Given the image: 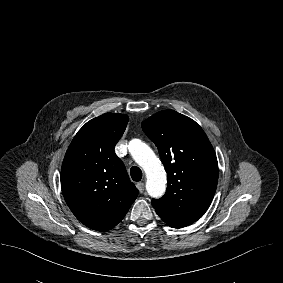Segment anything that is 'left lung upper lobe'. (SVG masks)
Masks as SVG:
<instances>
[{
	"mask_svg": "<svg viewBox=\"0 0 283 283\" xmlns=\"http://www.w3.org/2000/svg\"><path fill=\"white\" fill-rule=\"evenodd\" d=\"M142 129L157 146L168 177L165 195L152 200L155 211L173 228L194 223L217 187L218 163L210 141L194 120L174 110L154 114Z\"/></svg>",
	"mask_w": 283,
	"mask_h": 283,
	"instance_id": "1",
	"label": "left lung upper lobe"
}]
</instances>
